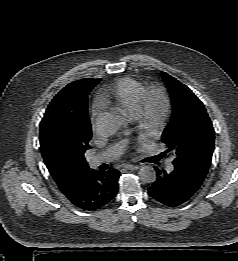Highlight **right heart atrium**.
Here are the masks:
<instances>
[{
	"instance_id": "right-heart-atrium-1",
	"label": "right heart atrium",
	"mask_w": 238,
	"mask_h": 261,
	"mask_svg": "<svg viewBox=\"0 0 238 261\" xmlns=\"http://www.w3.org/2000/svg\"><path fill=\"white\" fill-rule=\"evenodd\" d=\"M98 112H99V107L98 106H95L92 110V122L94 123L97 115H98Z\"/></svg>"
}]
</instances>
